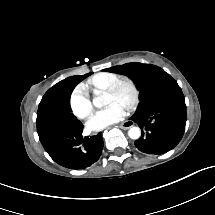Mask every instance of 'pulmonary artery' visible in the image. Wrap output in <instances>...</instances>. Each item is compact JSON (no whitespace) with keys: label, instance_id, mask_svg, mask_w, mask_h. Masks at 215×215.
<instances>
[{"label":"pulmonary artery","instance_id":"pulmonary-artery-1","mask_svg":"<svg viewBox=\"0 0 215 215\" xmlns=\"http://www.w3.org/2000/svg\"><path fill=\"white\" fill-rule=\"evenodd\" d=\"M114 84V77L111 74L101 73L92 79V86L95 89L111 87Z\"/></svg>","mask_w":215,"mask_h":215}]
</instances>
